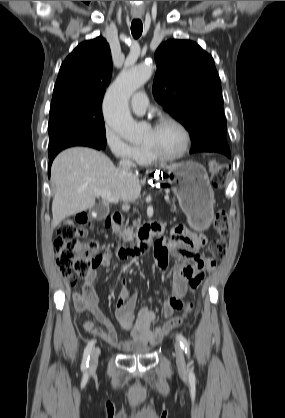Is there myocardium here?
Segmentation results:
<instances>
[{"label":"myocardium","mask_w":285,"mask_h":418,"mask_svg":"<svg viewBox=\"0 0 285 418\" xmlns=\"http://www.w3.org/2000/svg\"><path fill=\"white\" fill-rule=\"evenodd\" d=\"M168 124L176 126L181 131V133L183 135V145H182L180 151L173 156H163V155L159 154L158 152H156L151 147L144 145V149H145L146 154L154 161L173 162V161H176V160H179V159L183 158L189 150L190 134H189V131L186 128V126L182 122H180L179 120H177L173 117H163V118L159 119L153 125V128L158 129V128H160L164 125H168Z\"/></svg>","instance_id":"obj_1"}]
</instances>
